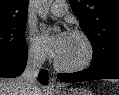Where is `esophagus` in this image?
<instances>
[{"label":"esophagus","mask_w":119,"mask_h":95,"mask_svg":"<svg viewBox=\"0 0 119 95\" xmlns=\"http://www.w3.org/2000/svg\"><path fill=\"white\" fill-rule=\"evenodd\" d=\"M48 87L51 89H57L60 87V85L54 78H50L48 81Z\"/></svg>","instance_id":"34e87169"}]
</instances>
